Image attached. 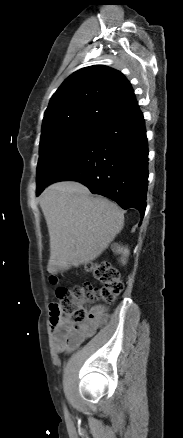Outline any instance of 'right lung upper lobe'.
Returning <instances> with one entry per match:
<instances>
[{"mask_svg":"<svg viewBox=\"0 0 183 438\" xmlns=\"http://www.w3.org/2000/svg\"><path fill=\"white\" fill-rule=\"evenodd\" d=\"M136 105L131 85L122 73L103 65L86 67L71 74L53 94L44 114L42 135L77 125L98 127Z\"/></svg>","mask_w":183,"mask_h":438,"instance_id":"right-lung-upper-lobe-1","label":"right lung upper lobe"}]
</instances>
